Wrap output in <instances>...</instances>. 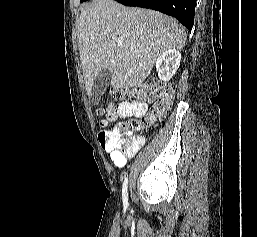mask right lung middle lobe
<instances>
[{
	"mask_svg": "<svg viewBox=\"0 0 257 237\" xmlns=\"http://www.w3.org/2000/svg\"><path fill=\"white\" fill-rule=\"evenodd\" d=\"M85 1H87V0H80V2H85Z\"/></svg>",
	"mask_w": 257,
	"mask_h": 237,
	"instance_id": "dd1d6c3e",
	"label": "right lung middle lobe"
}]
</instances>
